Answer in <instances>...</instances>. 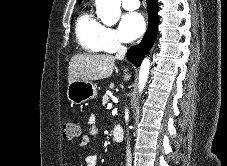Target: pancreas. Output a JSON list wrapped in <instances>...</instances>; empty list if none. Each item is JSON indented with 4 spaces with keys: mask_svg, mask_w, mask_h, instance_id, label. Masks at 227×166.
Masks as SVG:
<instances>
[{
    "mask_svg": "<svg viewBox=\"0 0 227 166\" xmlns=\"http://www.w3.org/2000/svg\"><path fill=\"white\" fill-rule=\"evenodd\" d=\"M108 101H109V97H108V95H104L103 96V101H102V105H106L107 103H108Z\"/></svg>",
    "mask_w": 227,
    "mask_h": 166,
    "instance_id": "1",
    "label": "pancreas"
}]
</instances>
